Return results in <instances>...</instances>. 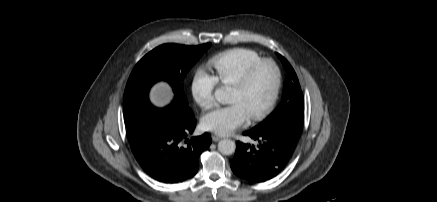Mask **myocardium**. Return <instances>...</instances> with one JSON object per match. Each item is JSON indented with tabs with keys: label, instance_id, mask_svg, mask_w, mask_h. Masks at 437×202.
<instances>
[{
	"label": "myocardium",
	"instance_id": "f54148a6",
	"mask_svg": "<svg viewBox=\"0 0 437 202\" xmlns=\"http://www.w3.org/2000/svg\"><path fill=\"white\" fill-rule=\"evenodd\" d=\"M263 64H270L274 68L276 74L275 85L269 101L260 111L249 117L251 121H260L264 119L275 106L282 84V72L279 65L271 58H261L250 64L241 76L232 84V87H245L250 82L255 71Z\"/></svg>",
	"mask_w": 437,
	"mask_h": 202
}]
</instances>
